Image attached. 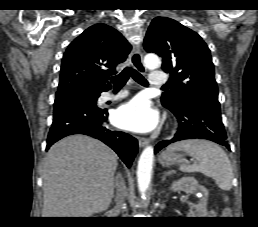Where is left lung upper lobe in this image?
<instances>
[{"instance_id": "1", "label": "left lung upper lobe", "mask_w": 258, "mask_h": 227, "mask_svg": "<svg viewBox=\"0 0 258 227\" xmlns=\"http://www.w3.org/2000/svg\"><path fill=\"white\" fill-rule=\"evenodd\" d=\"M144 48L161 56L162 69L170 74L169 91L161 97L164 107L178 108L200 97L218 99L210 50L196 32L171 18L156 17Z\"/></svg>"}]
</instances>
